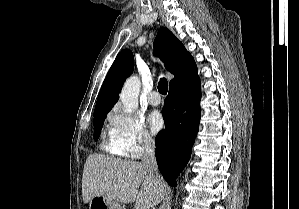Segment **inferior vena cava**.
Masks as SVG:
<instances>
[{"instance_id": "1", "label": "inferior vena cava", "mask_w": 299, "mask_h": 209, "mask_svg": "<svg viewBox=\"0 0 299 209\" xmlns=\"http://www.w3.org/2000/svg\"><path fill=\"white\" fill-rule=\"evenodd\" d=\"M141 162L151 175L159 178L157 162L155 158V144L149 137L145 138L142 143Z\"/></svg>"}]
</instances>
